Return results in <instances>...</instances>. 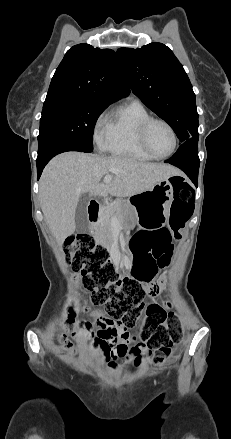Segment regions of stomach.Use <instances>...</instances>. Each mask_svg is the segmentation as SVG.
I'll use <instances>...</instances> for the list:
<instances>
[{
	"mask_svg": "<svg viewBox=\"0 0 231 439\" xmlns=\"http://www.w3.org/2000/svg\"><path fill=\"white\" fill-rule=\"evenodd\" d=\"M171 176L154 185L150 190L131 197V208L141 225L147 229L159 228L167 222L170 206L174 198L175 180Z\"/></svg>",
	"mask_w": 231,
	"mask_h": 439,
	"instance_id": "stomach-1",
	"label": "stomach"
}]
</instances>
